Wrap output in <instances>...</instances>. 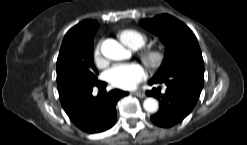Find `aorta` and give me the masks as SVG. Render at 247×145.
I'll return each mask as SVG.
<instances>
[{
    "mask_svg": "<svg viewBox=\"0 0 247 145\" xmlns=\"http://www.w3.org/2000/svg\"><path fill=\"white\" fill-rule=\"evenodd\" d=\"M101 52L111 60H123L129 56V51L114 39H106L102 43ZM143 107L147 112L153 113L158 109V102L156 99L149 97L144 100Z\"/></svg>",
    "mask_w": 247,
    "mask_h": 145,
    "instance_id": "762f6f07",
    "label": "aorta"
}]
</instances>
